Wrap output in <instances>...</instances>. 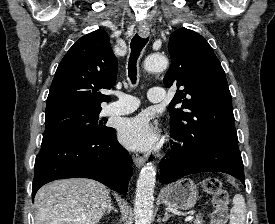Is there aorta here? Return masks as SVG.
I'll return each instance as SVG.
<instances>
[{
  "instance_id": "aorta-1",
  "label": "aorta",
  "mask_w": 275,
  "mask_h": 224,
  "mask_svg": "<svg viewBox=\"0 0 275 224\" xmlns=\"http://www.w3.org/2000/svg\"><path fill=\"white\" fill-rule=\"evenodd\" d=\"M168 60L160 54H151L144 61V67L149 72L166 69ZM156 168L147 163L141 170L136 184L134 214L135 224H151L153 220L154 187Z\"/></svg>"
}]
</instances>
